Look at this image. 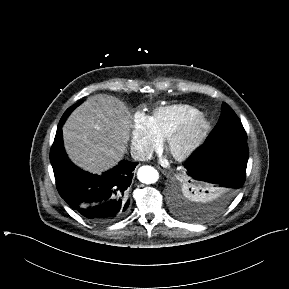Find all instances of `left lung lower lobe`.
Wrapping results in <instances>:
<instances>
[{
	"label": "left lung lower lobe",
	"instance_id": "0a47b994",
	"mask_svg": "<svg viewBox=\"0 0 289 289\" xmlns=\"http://www.w3.org/2000/svg\"><path fill=\"white\" fill-rule=\"evenodd\" d=\"M248 161L246 140L202 145L185 162L182 186L204 187L213 195V208L221 212L244 184Z\"/></svg>",
	"mask_w": 289,
	"mask_h": 289
}]
</instances>
